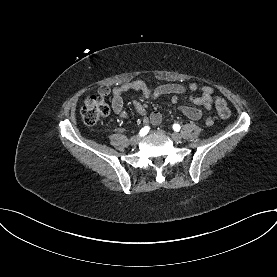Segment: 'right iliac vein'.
Listing matches in <instances>:
<instances>
[{
	"label": "right iliac vein",
	"instance_id": "1",
	"mask_svg": "<svg viewBox=\"0 0 277 277\" xmlns=\"http://www.w3.org/2000/svg\"><path fill=\"white\" fill-rule=\"evenodd\" d=\"M140 140H141V136H139V135L133 136L130 139V144L131 145H136L140 142Z\"/></svg>",
	"mask_w": 277,
	"mask_h": 277
}]
</instances>
